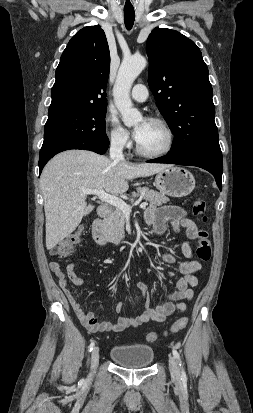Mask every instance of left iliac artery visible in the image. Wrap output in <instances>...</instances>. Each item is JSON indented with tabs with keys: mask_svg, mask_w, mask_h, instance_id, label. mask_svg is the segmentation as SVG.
<instances>
[{
	"mask_svg": "<svg viewBox=\"0 0 253 413\" xmlns=\"http://www.w3.org/2000/svg\"><path fill=\"white\" fill-rule=\"evenodd\" d=\"M173 355H174V358L177 360L179 366L181 367V379H182L183 381H186V379H187L186 373H185V371H184V369H183L182 362H181V358H180V355H179L178 351L174 349V350H173Z\"/></svg>",
	"mask_w": 253,
	"mask_h": 413,
	"instance_id": "obj_1",
	"label": "left iliac artery"
}]
</instances>
